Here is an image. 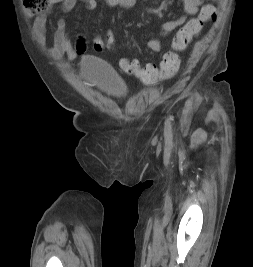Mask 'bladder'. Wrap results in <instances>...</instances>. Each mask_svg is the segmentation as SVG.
<instances>
[{
    "mask_svg": "<svg viewBox=\"0 0 253 267\" xmlns=\"http://www.w3.org/2000/svg\"><path fill=\"white\" fill-rule=\"evenodd\" d=\"M80 75L84 80L105 92L115 94L126 92V86L117 74L104 61L95 56H87L82 60Z\"/></svg>",
    "mask_w": 253,
    "mask_h": 267,
    "instance_id": "31cf9c89",
    "label": "bladder"
}]
</instances>
